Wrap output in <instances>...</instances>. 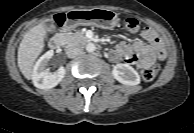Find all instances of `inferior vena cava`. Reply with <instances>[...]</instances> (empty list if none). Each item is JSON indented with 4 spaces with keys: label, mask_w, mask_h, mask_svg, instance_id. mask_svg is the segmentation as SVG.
<instances>
[{
    "label": "inferior vena cava",
    "mask_w": 194,
    "mask_h": 133,
    "mask_svg": "<svg viewBox=\"0 0 194 133\" xmlns=\"http://www.w3.org/2000/svg\"><path fill=\"white\" fill-rule=\"evenodd\" d=\"M82 53V49L79 47H70L67 49L66 54L69 58H74Z\"/></svg>",
    "instance_id": "602c4592"
}]
</instances>
